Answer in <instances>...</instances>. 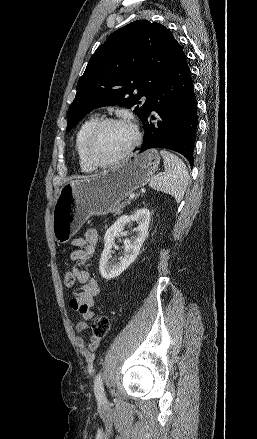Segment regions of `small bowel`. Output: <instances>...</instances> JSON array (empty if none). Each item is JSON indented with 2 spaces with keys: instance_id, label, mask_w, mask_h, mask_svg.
Here are the masks:
<instances>
[{
  "instance_id": "1",
  "label": "small bowel",
  "mask_w": 257,
  "mask_h": 439,
  "mask_svg": "<svg viewBox=\"0 0 257 439\" xmlns=\"http://www.w3.org/2000/svg\"><path fill=\"white\" fill-rule=\"evenodd\" d=\"M98 240V231L90 229L83 236L71 241L72 246L76 248L70 254V259L75 263L71 272L78 283L79 291L70 300V308L82 317V320L75 325V344L88 364L93 363L101 341L99 337L92 335L86 343L81 336L88 329L87 321L94 315L91 308L94 306L95 297L100 292L97 281L85 269L86 262L95 253Z\"/></svg>"
}]
</instances>
